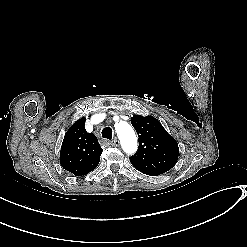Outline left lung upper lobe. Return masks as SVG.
Listing matches in <instances>:
<instances>
[{
  "instance_id": "left-lung-upper-lobe-1",
  "label": "left lung upper lobe",
  "mask_w": 247,
  "mask_h": 247,
  "mask_svg": "<svg viewBox=\"0 0 247 247\" xmlns=\"http://www.w3.org/2000/svg\"><path fill=\"white\" fill-rule=\"evenodd\" d=\"M131 124L138 134L139 148L130 157L131 164L142 173L163 174L177 162L179 147L161 123L152 116L135 115Z\"/></svg>"
}]
</instances>
